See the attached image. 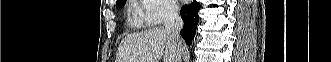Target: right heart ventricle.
Segmentation results:
<instances>
[{
	"mask_svg": "<svg viewBox=\"0 0 331 62\" xmlns=\"http://www.w3.org/2000/svg\"><path fill=\"white\" fill-rule=\"evenodd\" d=\"M137 15L141 17V14L140 13H137Z\"/></svg>",
	"mask_w": 331,
	"mask_h": 62,
	"instance_id": "1",
	"label": "right heart ventricle"
}]
</instances>
